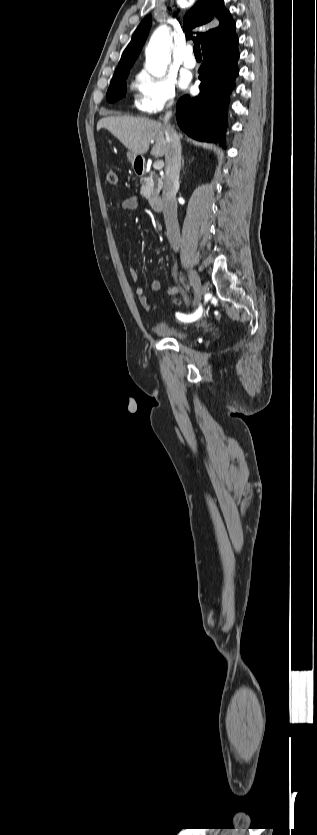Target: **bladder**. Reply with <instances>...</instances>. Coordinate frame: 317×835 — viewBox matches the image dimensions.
<instances>
[{"label":"bladder","instance_id":"bladder-1","mask_svg":"<svg viewBox=\"0 0 317 835\" xmlns=\"http://www.w3.org/2000/svg\"><path fill=\"white\" fill-rule=\"evenodd\" d=\"M153 330L156 334H158L160 336L172 338V339H175V340H184V339L188 338V336L190 335V332L188 331V329H186V328H184L180 325H176V324H172V323L164 322V321L158 322L154 326Z\"/></svg>","mask_w":317,"mask_h":835}]
</instances>
